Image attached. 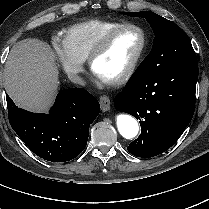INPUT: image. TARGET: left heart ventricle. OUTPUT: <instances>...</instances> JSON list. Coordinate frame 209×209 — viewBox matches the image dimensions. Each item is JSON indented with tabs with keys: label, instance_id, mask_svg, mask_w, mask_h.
<instances>
[{
	"label": "left heart ventricle",
	"instance_id": "b2bd125f",
	"mask_svg": "<svg viewBox=\"0 0 209 209\" xmlns=\"http://www.w3.org/2000/svg\"><path fill=\"white\" fill-rule=\"evenodd\" d=\"M141 44V34L128 29L116 33L107 49L94 65L95 73L103 78H114L129 66Z\"/></svg>",
	"mask_w": 209,
	"mask_h": 209
}]
</instances>
